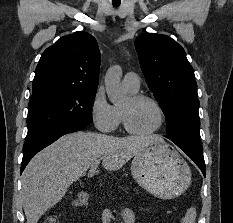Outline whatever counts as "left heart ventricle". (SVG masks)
<instances>
[{
	"instance_id": "obj_1",
	"label": "left heart ventricle",
	"mask_w": 233,
	"mask_h": 223,
	"mask_svg": "<svg viewBox=\"0 0 233 223\" xmlns=\"http://www.w3.org/2000/svg\"><path fill=\"white\" fill-rule=\"evenodd\" d=\"M121 109L126 111L131 127L137 132H150L160 123L159 112L150 101L132 103L127 99Z\"/></svg>"
}]
</instances>
